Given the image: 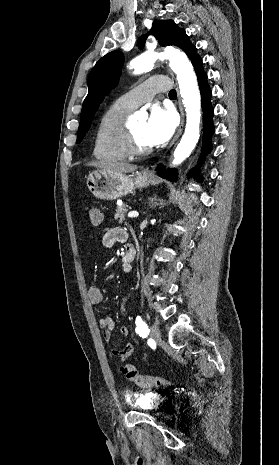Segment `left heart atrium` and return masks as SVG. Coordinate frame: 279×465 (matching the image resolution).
Here are the masks:
<instances>
[{"mask_svg":"<svg viewBox=\"0 0 279 465\" xmlns=\"http://www.w3.org/2000/svg\"><path fill=\"white\" fill-rule=\"evenodd\" d=\"M176 128V117L173 111L154 106L145 126V135L151 146L165 143L173 135Z\"/></svg>","mask_w":279,"mask_h":465,"instance_id":"39dd6f15","label":"left heart atrium"}]
</instances>
